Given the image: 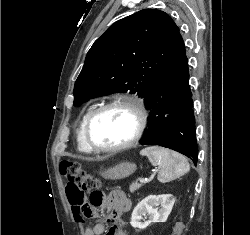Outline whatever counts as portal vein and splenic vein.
I'll return each mask as SVG.
<instances>
[{
  "instance_id": "18ae733b",
  "label": "portal vein and splenic vein",
  "mask_w": 250,
  "mask_h": 235,
  "mask_svg": "<svg viewBox=\"0 0 250 235\" xmlns=\"http://www.w3.org/2000/svg\"><path fill=\"white\" fill-rule=\"evenodd\" d=\"M139 181H140L141 183H143V182L147 181V178L141 177V178H139Z\"/></svg>"
}]
</instances>
